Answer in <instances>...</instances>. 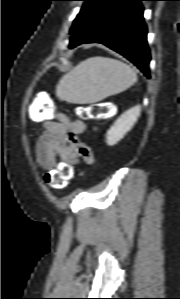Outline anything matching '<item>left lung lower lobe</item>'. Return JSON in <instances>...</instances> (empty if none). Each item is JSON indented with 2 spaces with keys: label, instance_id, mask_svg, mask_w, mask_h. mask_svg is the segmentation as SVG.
<instances>
[{
  "label": "left lung lower lobe",
  "instance_id": "1",
  "mask_svg": "<svg viewBox=\"0 0 180 299\" xmlns=\"http://www.w3.org/2000/svg\"><path fill=\"white\" fill-rule=\"evenodd\" d=\"M141 1L96 0L72 34L69 48L83 43H102L149 75L150 53Z\"/></svg>",
  "mask_w": 180,
  "mask_h": 299
}]
</instances>
